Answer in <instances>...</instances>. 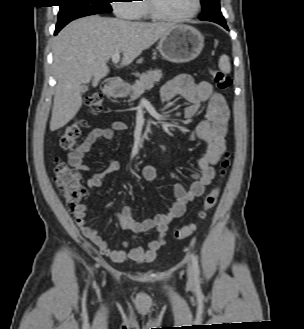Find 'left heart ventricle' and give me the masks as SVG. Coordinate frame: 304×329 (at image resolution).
I'll return each mask as SVG.
<instances>
[{"label":"left heart ventricle","mask_w":304,"mask_h":329,"mask_svg":"<svg viewBox=\"0 0 304 329\" xmlns=\"http://www.w3.org/2000/svg\"><path fill=\"white\" fill-rule=\"evenodd\" d=\"M158 8L167 15L180 16L190 13L195 0H156Z\"/></svg>","instance_id":"obj_1"}]
</instances>
